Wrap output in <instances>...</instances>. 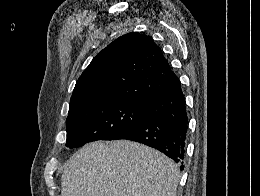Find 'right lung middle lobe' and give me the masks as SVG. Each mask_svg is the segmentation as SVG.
I'll return each instance as SVG.
<instances>
[{
  "label": "right lung middle lobe",
  "mask_w": 260,
  "mask_h": 196,
  "mask_svg": "<svg viewBox=\"0 0 260 196\" xmlns=\"http://www.w3.org/2000/svg\"><path fill=\"white\" fill-rule=\"evenodd\" d=\"M149 118L140 103L123 97L70 106L66 147H80L96 140H114Z\"/></svg>",
  "instance_id": "right-lung-middle-lobe-1"
}]
</instances>
